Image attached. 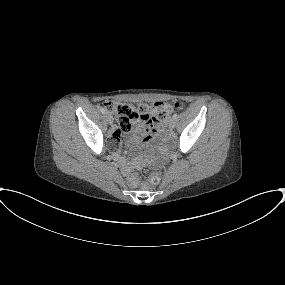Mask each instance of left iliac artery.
<instances>
[{
    "label": "left iliac artery",
    "mask_w": 285,
    "mask_h": 285,
    "mask_svg": "<svg viewBox=\"0 0 285 285\" xmlns=\"http://www.w3.org/2000/svg\"><path fill=\"white\" fill-rule=\"evenodd\" d=\"M178 115L177 114H174L173 115V119H177Z\"/></svg>",
    "instance_id": "44dca946"
}]
</instances>
